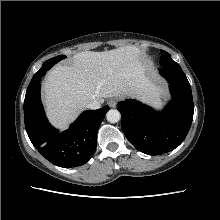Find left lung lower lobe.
Listing matches in <instances>:
<instances>
[{
	"label": "left lung lower lobe",
	"instance_id": "1",
	"mask_svg": "<svg viewBox=\"0 0 220 220\" xmlns=\"http://www.w3.org/2000/svg\"><path fill=\"white\" fill-rule=\"evenodd\" d=\"M159 72L168 81L172 94V101L163 112L157 113L132 99L117 104L125 136L139 151L148 155H160L177 148L193 120L191 87L182 69L163 67Z\"/></svg>",
	"mask_w": 220,
	"mask_h": 220
}]
</instances>
